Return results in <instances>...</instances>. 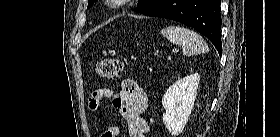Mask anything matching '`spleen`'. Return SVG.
<instances>
[{"label":"spleen","instance_id":"spleen-1","mask_svg":"<svg viewBox=\"0 0 280 137\" xmlns=\"http://www.w3.org/2000/svg\"><path fill=\"white\" fill-rule=\"evenodd\" d=\"M160 34L171 43L181 45L183 55L192 56L208 52L209 48L204 39L193 30L180 26H168Z\"/></svg>","mask_w":280,"mask_h":137}]
</instances>
